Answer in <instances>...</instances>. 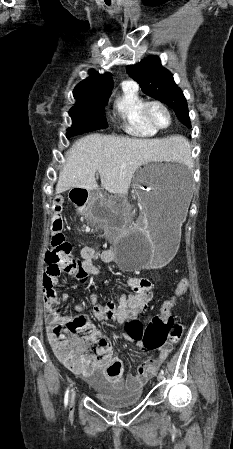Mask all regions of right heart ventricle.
Returning a JSON list of instances; mask_svg holds the SVG:
<instances>
[{
  "label": "right heart ventricle",
  "instance_id": "1",
  "mask_svg": "<svg viewBox=\"0 0 233 449\" xmlns=\"http://www.w3.org/2000/svg\"><path fill=\"white\" fill-rule=\"evenodd\" d=\"M145 102L137 86L130 82L122 84V92L114 101L115 114L120 118L124 131L133 137L149 138L157 133L143 117Z\"/></svg>",
  "mask_w": 233,
  "mask_h": 449
}]
</instances>
